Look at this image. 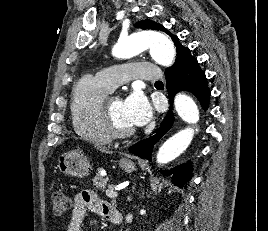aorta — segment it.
<instances>
[{"label": "aorta", "instance_id": "762f6f07", "mask_svg": "<svg viewBox=\"0 0 268 231\" xmlns=\"http://www.w3.org/2000/svg\"><path fill=\"white\" fill-rule=\"evenodd\" d=\"M150 50L151 57L162 66H171L175 59V47L165 35L157 32H139L120 38L114 45L112 54L118 59H129L135 55ZM175 109L179 117L187 123H197L199 111L192 98L185 94H177L174 100ZM194 129L187 127L180 130L159 148L156 160L159 164H166L180 154L190 145Z\"/></svg>", "mask_w": 268, "mask_h": 231}]
</instances>
